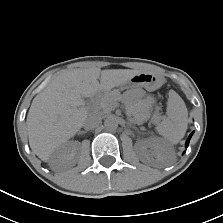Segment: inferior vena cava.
Masks as SVG:
<instances>
[{"mask_svg": "<svg viewBox=\"0 0 223 223\" xmlns=\"http://www.w3.org/2000/svg\"><path fill=\"white\" fill-rule=\"evenodd\" d=\"M100 123H101V118L90 115L89 117H87L83 126L85 127L86 130H90L97 127Z\"/></svg>", "mask_w": 223, "mask_h": 223, "instance_id": "obj_1", "label": "inferior vena cava"}]
</instances>
